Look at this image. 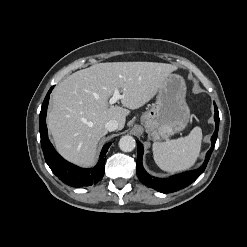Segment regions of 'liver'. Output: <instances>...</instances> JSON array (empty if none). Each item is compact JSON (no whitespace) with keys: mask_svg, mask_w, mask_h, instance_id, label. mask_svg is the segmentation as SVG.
I'll return each instance as SVG.
<instances>
[{"mask_svg":"<svg viewBox=\"0 0 247 247\" xmlns=\"http://www.w3.org/2000/svg\"><path fill=\"white\" fill-rule=\"evenodd\" d=\"M176 66L156 62L98 63L79 70L54 89L47 115V126L57 151L68 161L92 166L97 145L108 133L105 124L118 122L123 129L128 109L149 102ZM122 92L124 107L108 100L114 90Z\"/></svg>","mask_w":247,"mask_h":247,"instance_id":"6515ba94","label":"liver"}]
</instances>
